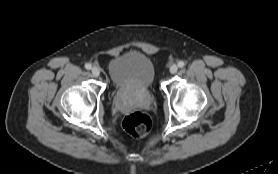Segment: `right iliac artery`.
<instances>
[{"mask_svg": "<svg viewBox=\"0 0 278 174\" xmlns=\"http://www.w3.org/2000/svg\"><path fill=\"white\" fill-rule=\"evenodd\" d=\"M85 68H86L87 70H90V69L92 68V65L89 64V63H87V64H85Z\"/></svg>", "mask_w": 278, "mask_h": 174, "instance_id": "82829eb1", "label": "right iliac artery"}]
</instances>
